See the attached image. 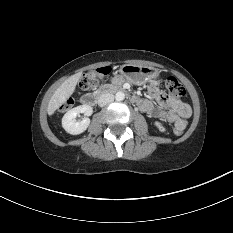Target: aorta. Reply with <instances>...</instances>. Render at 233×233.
<instances>
[{
  "label": "aorta",
  "instance_id": "1",
  "mask_svg": "<svg viewBox=\"0 0 233 233\" xmlns=\"http://www.w3.org/2000/svg\"><path fill=\"white\" fill-rule=\"evenodd\" d=\"M115 98L117 101H123L125 99V94L119 91L116 93Z\"/></svg>",
  "mask_w": 233,
  "mask_h": 233
}]
</instances>
